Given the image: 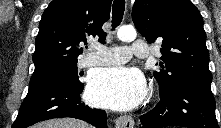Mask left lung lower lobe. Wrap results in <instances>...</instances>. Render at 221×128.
<instances>
[{"label":"left lung lower lobe","instance_id":"1","mask_svg":"<svg viewBox=\"0 0 221 128\" xmlns=\"http://www.w3.org/2000/svg\"><path fill=\"white\" fill-rule=\"evenodd\" d=\"M140 128H219L211 85L191 83L160 96L154 109L140 117Z\"/></svg>","mask_w":221,"mask_h":128}]
</instances>
